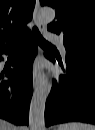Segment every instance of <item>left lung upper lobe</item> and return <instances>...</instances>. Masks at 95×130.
<instances>
[{
    "instance_id": "left-lung-upper-lobe-1",
    "label": "left lung upper lobe",
    "mask_w": 95,
    "mask_h": 130,
    "mask_svg": "<svg viewBox=\"0 0 95 130\" xmlns=\"http://www.w3.org/2000/svg\"><path fill=\"white\" fill-rule=\"evenodd\" d=\"M40 3L55 9L56 19L47 29L63 35L66 49L95 56V0H40Z\"/></svg>"
}]
</instances>
